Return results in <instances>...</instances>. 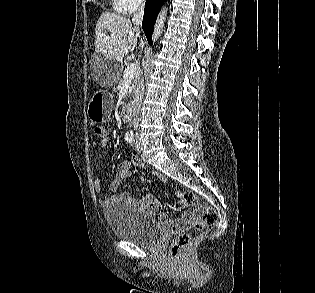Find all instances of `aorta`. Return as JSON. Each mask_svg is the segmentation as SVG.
<instances>
[{"instance_id":"762f6f07","label":"aorta","mask_w":315,"mask_h":293,"mask_svg":"<svg viewBox=\"0 0 315 293\" xmlns=\"http://www.w3.org/2000/svg\"><path fill=\"white\" fill-rule=\"evenodd\" d=\"M167 11H168V8L163 7V9L161 10V12H160V14L156 20L154 31H153L154 42L159 39V37L161 36V34L163 32L164 23H165L166 16H167Z\"/></svg>"}]
</instances>
